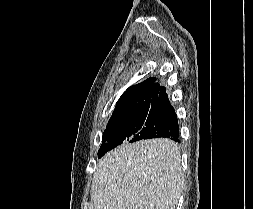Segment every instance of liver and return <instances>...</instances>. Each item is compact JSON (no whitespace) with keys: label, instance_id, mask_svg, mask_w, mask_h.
Returning a JSON list of instances; mask_svg holds the SVG:
<instances>
[{"label":"liver","instance_id":"6515ba94","mask_svg":"<svg viewBox=\"0 0 253 209\" xmlns=\"http://www.w3.org/2000/svg\"><path fill=\"white\" fill-rule=\"evenodd\" d=\"M184 187L179 146L167 138L125 143L102 157L94 209H175Z\"/></svg>","mask_w":253,"mask_h":209}]
</instances>
